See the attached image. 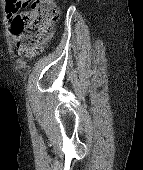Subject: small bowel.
<instances>
[{
	"instance_id": "obj_1",
	"label": "small bowel",
	"mask_w": 143,
	"mask_h": 170,
	"mask_svg": "<svg viewBox=\"0 0 143 170\" xmlns=\"http://www.w3.org/2000/svg\"><path fill=\"white\" fill-rule=\"evenodd\" d=\"M28 3V0H13V2L10 4V9L12 10V13L15 14L20 9H26ZM10 36L14 43H18L20 41V33H11Z\"/></svg>"
}]
</instances>
